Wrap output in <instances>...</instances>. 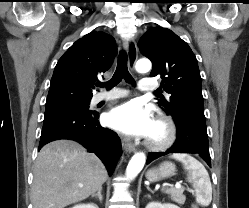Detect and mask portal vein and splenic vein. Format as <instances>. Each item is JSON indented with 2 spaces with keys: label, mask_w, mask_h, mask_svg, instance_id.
Listing matches in <instances>:
<instances>
[{
  "label": "portal vein and splenic vein",
  "mask_w": 249,
  "mask_h": 208,
  "mask_svg": "<svg viewBox=\"0 0 249 208\" xmlns=\"http://www.w3.org/2000/svg\"><path fill=\"white\" fill-rule=\"evenodd\" d=\"M80 187H82V185H80ZM175 188H181V184L180 183H176L175 184Z\"/></svg>",
  "instance_id": "obj_1"
}]
</instances>
